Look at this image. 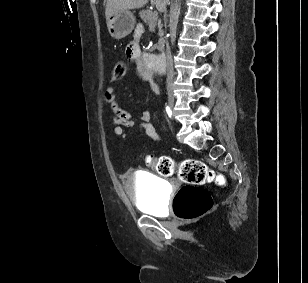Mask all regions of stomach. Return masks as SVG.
Instances as JSON below:
<instances>
[{"instance_id": "obj_1", "label": "stomach", "mask_w": 308, "mask_h": 283, "mask_svg": "<svg viewBox=\"0 0 308 283\" xmlns=\"http://www.w3.org/2000/svg\"><path fill=\"white\" fill-rule=\"evenodd\" d=\"M109 34L114 39L129 35L135 26V17L129 10L117 11L106 20Z\"/></svg>"}]
</instances>
